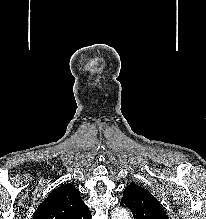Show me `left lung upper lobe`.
<instances>
[{"label":"left lung upper lobe","instance_id":"1","mask_svg":"<svg viewBox=\"0 0 206 219\" xmlns=\"http://www.w3.org/2000/svg\"><path fill=\"white\" fill-rule=\"evenodd\" d=\"M120 205L130 208L134 219H169L159 201L148 190L134 183L124 189Z\"/></svg>","mask_w":206,"mask_h":219}]
</instances>
